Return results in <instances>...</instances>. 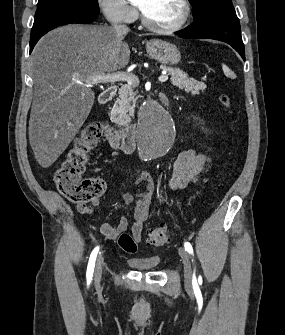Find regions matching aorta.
Returning a JSON list of instances; mask_svg holds the SVG:
<instances>
[{
	"label": "aorta",
	"mask_w": 285,
	"mask_h": 335,
	"mask_svg": "<svg viewBox=\"0 0 285 335\" xmlns=\"http://www.w3.org/2000/svg\"><path fill=\"white\" fill-rule=\"evenodd\" d=\"M140 112V125L134 127V134L139 137L138 147H143L142 156L147 160H160L161 156H167L170 147H175L177 119H170V112H165L160 100H143Z\"/></svg>",
	"instance_id": "1"
}]
</instances>
